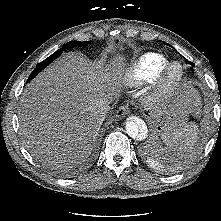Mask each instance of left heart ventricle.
I'll use <instances>...</instances> for the list:
<instances>
[{"label":"left heart ventricle","mask_w":221,"mask_h":221,"mask_svg":"<svg viewBox=\"0 0 221 221\" xmlns=\"http://www.w3.org/2000/svg\"><path fill=\"white\" fill-rule=\"evenodd\" d=\"M175 74H176V73L174 72V73H173V77H175Z\"/></svg>","instance_id":"left-heart-ventricle-1"}]
</instances>
